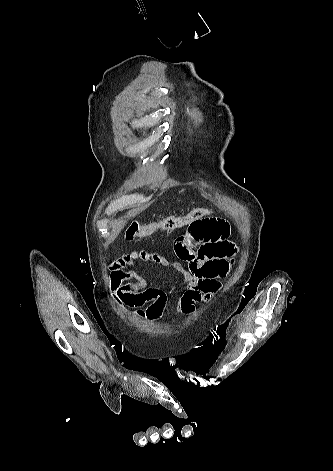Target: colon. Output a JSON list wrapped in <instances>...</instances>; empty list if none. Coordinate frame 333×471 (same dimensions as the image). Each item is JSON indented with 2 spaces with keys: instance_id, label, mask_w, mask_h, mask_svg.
<instances>
[{
  "instance_id": "colon-1",
  "label": "colon",
  "mask_w": 333,
  "mask_h": 471,
  "mask_svg": "<svg viewBox=\"0 0 333 471\" xmlns=\"http://www.w3.org/2000/svg\"><path fill=\"white\" fill-rule=\"evenodd\" d=\"M209 214L210 210L208 208H197L184 215L168 216L159 221L145 225H140L137 222H131L128 224L125 230V236L128 240H133L135 238L149 236L159 230L172 231L188 226L192 222Z\"/></svg>"
}]
</instances>
